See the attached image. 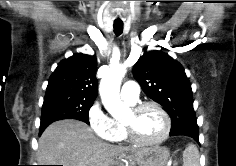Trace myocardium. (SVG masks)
I'll return each instance as SVG.
<instances>
[{"instance_id": "myocardium-1", "label": "myocardium", "mask_w": 236, "mask_h": 166, "mask_svg": "<svg viewBox=\"0 0 236 166\" xmlns=\"http://www.w3.org/2000/svg\"><path fill=\"white\" fill-rule=\"evenodd\" d=\"M147 107H153V108L157 109L159 111V113L162 115L163 120H164L163 133L157 139L152 140V141L141 140L136 135L135 130L132 127V125L123 122V127L126 131V134L129 138V140L132 143H134L135 145L144 146V147L156 146V145L161 144L168 137V135L170 133V129H171V120H170L168 113L159 103H157L155 101H144V102L138 103L131 108L130 112L133 115H137Z\"/></svg>"}]
</instances>
